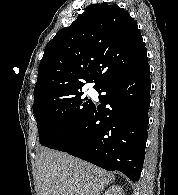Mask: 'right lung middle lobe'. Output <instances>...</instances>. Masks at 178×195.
I'll list each match as a JSON object with an SVG mask.
<instances>
[{
	"label": "right lung middle lobe",
	"instance_id": "1",
	"mask_svg": "<svg viewBox=\"0 0 178 195\" xmlns=\"http://www.w3.org/2000/svg\"><path fill=\"white\" fill-rule=\"evenodd\" d=\"M83 92H75L63 97L47 100L34 107L42 145L54 148L75 128L76 123L93 106Z\"/></svg>",
	"mask_w": 178,
	"mask_h": 195
}]
</instances>
